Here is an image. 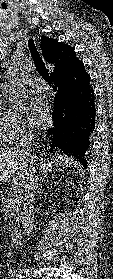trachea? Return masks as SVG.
<instances>
[{
    "label": "trachea",
    "mask_w": 113,
    "mask_h": 279,
    "mask_svg": "<svg viewBox=\"0 0 113 279\" xmlns=\"http://www.w3.org/2000/svg\"><path fill=\"white\" fill-rule=\"evenodd\" d=\"M28 48L30 50L37 72L46 82L51 84V77L49 76L48 70L45 68L42 57L38 52L33 39L28 40Z\"/></svg>",
    "instance_id": "3493384b"
}]
</instances>
